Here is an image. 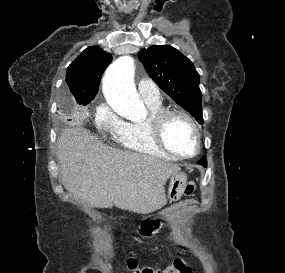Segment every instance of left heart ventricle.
<instances>
[{
    "label": "left heart ventricle",
    "mask_w": 285,
    "mask_h": 273,
    "mask_svg": "<svg viewBox=\"0 0 285 273\" xmlns=\"http://www.w3.org/2000/svg\"><path fill=\"white\" fill-rule=\"evenodd\" d=\"M164 139L167 145L179 154L189 155L195 151V131L189 121L180 115L168 119L164 127Z\"/></svg>",
    "instance_id": "b2bd125f"
}]
</instances>
